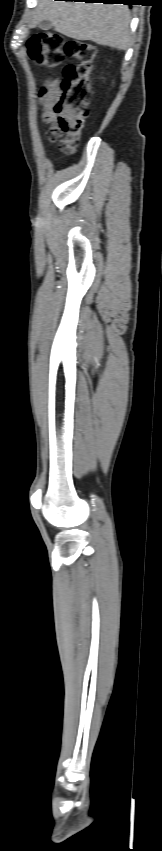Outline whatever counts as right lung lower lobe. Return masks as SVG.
<instances>
[{
  "instance_id": "right-lung-lower-lobe-1",
  "label": "right lung lower lobe",
  "mask_w": 162,
  "mask_h": 851,
  "mask_svg": "<svg viewBox=\"0 0 162 851\" xmlns=\"http://www.w3.org/2000/svg\"><path fill=\"white\" fill-rule=\"evenodd\" d=\"M66 1H84V2H93V3L102 2L104 4H118V3H120V4H124V5H131L132 2L135 1V0H66Z\"/></svg>"
}]
</instances>
